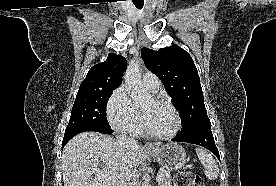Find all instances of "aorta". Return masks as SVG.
<instances>
[{
    "label": "aorta",
    "instance_id": "762f6f07",
    "mask_svg": "<svg viewBox=\"0 0 276 186\" xmlns=\"http://www.w3.org/2000/svg\"><path fill=\"white\" fill-rule=\"evenodd\" d=\"M140 62H141V59H136L131 61L127 66V69L124 75L125 86L135 103H140L142 100L148 97L146 96L145 90L141 84ZM149 180H150L149 175L148 174L144 175L141 186H150Z\"/></svg>",
    "mask_w": 276,
    "mask_h": 186
}]
</instances>
